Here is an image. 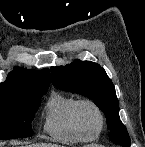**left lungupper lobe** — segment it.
<instances>
[{
	"instance_id": "1",
	"label": "left lung upper lobe",
	"mask_w": 145,
	"mask_h": 147,
	"mask_svg": "<svg viewBox=\"0 0 145 147\" xmlns=\"http://www.w3.org/2000/svg\"><path fill=\"white\" fill-rule=\"evenodd\" d=\"M52 83L65 91L84 95L104 112L110 141L123 147H130V137L126 127L119 120V102L115 88L105 70L90 61L75 60L66 66L51 68Z\"/></svg>"
}]
</instances>
